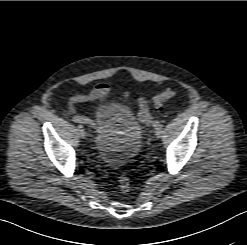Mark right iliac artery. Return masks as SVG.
<instances>
[{
	"mask_svg": "<svg viewBox=\"0 0 247 245\" xmlns=\"http://www.w3.org/2000/svg\"><path fill=\"white\" fill-rule=\"evenodd\" d=\"M72 121L76 123L89 124L90 126L94 125L89 118L82 117V116H74L72 117Z\"/></svg>",
	"mask_w": 247,
	"mask_h": 245,
	"instance_id": "right-iliac-artery-1",
	"label": "right iliac artery"
}]
</instances>
